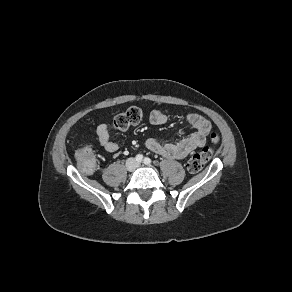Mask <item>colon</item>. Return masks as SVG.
<instances>
[{
  "label": "colon",
  "instance_id": "obj_1",
  "mask_svg": "<svg viewBox=\"0 0 292 292\" xmlns=\"http://www.w3.org/2000/svg\"><path fill=\"white\" fill-rule=\"evenodd\" d=\"M143 116L144 112L140 107L131 106L113 118L112 127L116 130H126L131 126L140 123ZM218 142L219 135L216 132H212L210 135L211 145H216ZM212 155V146H206L202 150L194 153L187 163L188 170L192 173L202 170L203 167L209 162ZM76 159L82 172L90 174L95 170L96 159L91 144H86L81 147L76 153Z\"/></svg>",
  "mask_w": 292,
  "mask_h": 292
}]
</instances>
